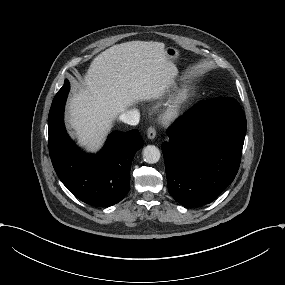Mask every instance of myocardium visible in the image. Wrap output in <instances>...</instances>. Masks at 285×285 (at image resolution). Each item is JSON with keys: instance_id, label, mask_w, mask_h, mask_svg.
Returning a JSON list of instances; mask_svg holds the SVG:
<instances>
[{"instance_id": "myocardium-1", "label": "myocardium", "mask_w": 285, "mask_h": 285, "mask_svg": "<svg viewBox=\"0 0 285 285\" xmlns=\"http://www.w3.org/2000/svg\"><path fill=\"white\" fill-rule=\"evenodd\" d=\"M189 100V92L181 90L173 96L162 112L161 118L164 122H174L181 115Z\"/></svg>"}]
</instances>
